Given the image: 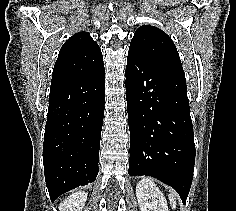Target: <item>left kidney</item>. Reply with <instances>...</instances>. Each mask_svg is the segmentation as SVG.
I'll list each match as a JSON object with an SVG mask.
<instances>
[{
  "label": "left kidney",
  "instance_id": "obj_1",
  "mask_svg": "<svg viewBox=\"0 0 236 211\" xmlns=\"http://www.w3.org/2000/svg\"><path fill=\"white\" fill-rule=\"evenodd\" d=\"M136 196L141 211H169L164 195L154 182L147 178L136 185Z\"/></svg>",
  "mask_w": 236,
  "mask_h": 211
}]
</instances>
